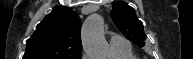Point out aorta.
<instances>
[{
  "mask_svg": "<svg viewBox=\"0 0 193 59\" xmlns=\"http://www.w3.org/2000/svg\"><path fill=\"white\" fill-rule=\"evenodd\" d=\"M84 49L91 59H113V53L104 38V22L101 16L93 14L82 28Z\"/></svg>",
  "mask_w": 193,
  "mask_h": 59,
  "instance_id": "762f6f07",
  "label": "aorta"
}]
</instances>
